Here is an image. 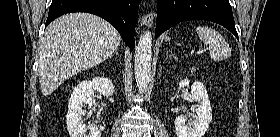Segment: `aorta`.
<instances>
[{"label": "aorta", "instance_id": "aorta-1", "mask_svg": "<svg viewBox=\"0 0 280 137\" xmlns=\"http://www.w3.org/2000/svg\"><path fill=\"white\" fill-rule=\"evenodd\" d=\"M152 35L146 31L135 47V78L139 92L147 91L151 73Z\"/></svg>", "mask_w": 280, "mask_h": 137}]
</instances>
